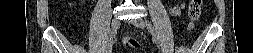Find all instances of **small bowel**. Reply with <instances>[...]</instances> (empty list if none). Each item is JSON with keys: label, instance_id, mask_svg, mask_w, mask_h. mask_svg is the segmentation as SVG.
I'll list each match as a JSON object with an SVG mask.
<instances>
[{"label": "small bowel", "instance_id": "small-bowel-1", "mask_svg": "<svg viewBox=\"0 0 253 53\" xmlns=\"http://www.w3.org/2000/svg\"><path fill=\"white\" fill-rule=\"evenodd\" d=\"M184 7V3L180 4V5H176V6H173L169 9L170 13L174 16H177L180 14L181 12V9Z\"/></svg>", "mask_w": 253, "mask_h": 53}]
</instances>
